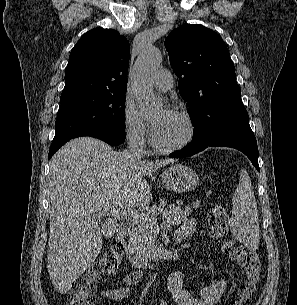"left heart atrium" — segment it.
Here are the masks:
<instances>
[{
	"instance_id": "39dd6f15",
	"label": "left heart atrium",
	"mask_w": 297,
	"mask_h": 305,
	"mask_svg": "<svg viewBox=\"0 0 297 305\" xmlns=\"http://www.w3.org/2000/svg\"><path fill=\"white\" fill-rule=\"evenodd\" d=\"M167 114H168V111H163L157 118H155L152 121V123H151L152 131L157 129L161 125V123L163 122V120L165 119Z\"/></svg>"
}]
</instances>
